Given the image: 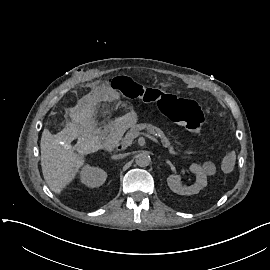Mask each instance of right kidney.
<instances>
[{
  "instance_id": "right-kidney-1",
  "label": "right kidney",
  "mask_w": 270,
  "mask_h": 270,
  "mask_svg": "<svg viewBox=\"0 0 270 270\" xmlns=\"http://www.w3.org/2000/svg\"><path fill=\"white\" fill-rule=\"evenodd\" d=\"M107 178V174L98 168L85 166L81 171V179L90 187H98L102 185Z\"/></svg>"
}]
</instances>
